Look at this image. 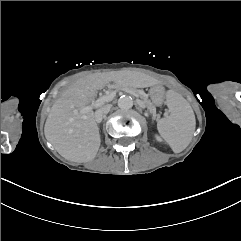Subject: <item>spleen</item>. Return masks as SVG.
I'll return each instance as SVG.
<instances>
[{
    "instance_id": "spleen-1",
    "label": "spleen",
    "mask_w": 241,
    "mask_h": 241,
    "mask_svg": "<svg viewBox=\"0 0 241 241\" xmlns=\"http://www.w3.org/2000/svg\"><path fill=\"white\" fill-rule=\"evenodd\" d=\"M170 116L157 122L160 137L174 153L183 151L190 143L195 131V116L187 99L174 89L167 91Z\"/></svg>"
}]
</instances>
